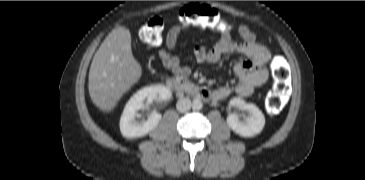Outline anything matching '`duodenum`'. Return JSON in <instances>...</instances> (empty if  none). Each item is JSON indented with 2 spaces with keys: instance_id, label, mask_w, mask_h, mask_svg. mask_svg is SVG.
Segmentation results:
<instances>
[{
  "instance_id": "410a0bca",
  "label": "duodenum",
  "mask_w": 365,
  "mask_h": 180,
  "mask_svg": "<svg viewBox=\"0 0 365 180\" xmlns=\"http://www.w3.org/2000/svg\"><path fill=\"white\" fill-rule=\"evenodd\" d=\"M166 86L169 89L177 92L178 94H183L185 92H188L201 100H210L212 98V93L206 88L191 83H185L178 79L168 80Z\"/></svg>"
}]
</instances>
